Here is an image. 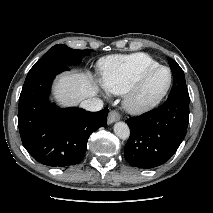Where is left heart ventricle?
Here are the masks:
<instances>
[{
  "label": "left heart ventricle",
  "instance_id": "1",
  "mask_svg": "<svg viewBox=\"0 0 213 213\" xmlns=\"http://www.w3.org/2000/svg\"><path fill=\"white\" fill-rule=\"evenodd\" d=\"M168 78L169 74L166 70L157 71L146 82L142 90V97L148 98L158 94L166 86Z\"/></svg>",
  "mask_w": 213,
  "mask_h": 213
}]
</instances>
